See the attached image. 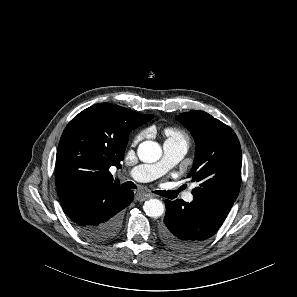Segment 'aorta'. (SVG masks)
Instances as JSON below:
<instances>
[{"instance_id":"762f6f07","label":"aorta","mask_w":297,"mask_h":297,"mask_svg":"<svg viewBox=\"0 0 297 297\" xmlns=\"http://www.w3.org/2000/svg\"><path fill=\"white\" fill-rule=\"evenodd\" d=\"M137 154L141 161L152 163L160 159L162 149L157 142L147 140L139 144ZM143 209L146 215L156 218L164 213L165 206L158 199H150L144 203Z\"/></svg>"}]
</instances>
